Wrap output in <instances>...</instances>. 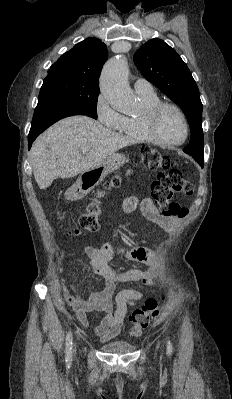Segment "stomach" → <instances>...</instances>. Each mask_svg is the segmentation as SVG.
Returning a JSON list of instances; mask_svg holds the SVG:
<instances>
[{"label":"stomach","mask_w":232,"mask_h":399,"mask_svg":"<svg viewBox=\"0 0 232 399\" xmlns=\"http://www.w3.org/2000/svg\"><path fill=\"white\" fill-rule=\"evenodd\" d=\"M126 162H128V158H126L124 154H110V156H107V158L101 162L100 166L83 172V174H81L82 184L79 190L81 196H83V194H88L90 190H93L95 186H98V184L106 178L107 174L115 172V170H118V168L126 164Z\"/></svg>","instance_id":"0dacf381"}]
</instances>
